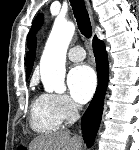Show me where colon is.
Returning <instances> with one entry per match:
<instances>
[{"label": "colon", "mask_w": 139, "mask_h": 150, "mask_svg": "<svg viewBox=\"0 0 139 150\" xmlns=\"http://www.w3.org/2000/svg\"><path fill=\"white\" fill-rule=\"evenodd\" d=\"M17 150H26V147L24 145H19L17 147Z\"/></svg>", "instance_id": "colon-1"}]
</instances>
